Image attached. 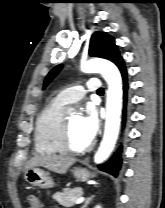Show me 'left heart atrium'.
<instances>
[{"label": "left heart atrium", "mask_w": 165, "mask_h": 208, "mask_svg": "<svg viewBox=\"0 0 165 208\" xmlns=\"http://www.w3.org/2000/svg\"><path fill=\"white\" fill-rule=\"evenodd\" d=\"M81 128L86 139L91 142L99 129V118L94 107H88L85 115L81 117Z\"/></svg>", "instance_id": "1"}]
</instances>
